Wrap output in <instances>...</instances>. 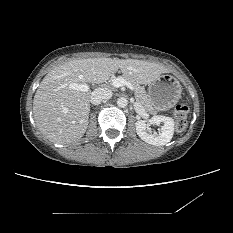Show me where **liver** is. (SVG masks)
<instances>
[{
  "mask_svg": "<svg viewBox=\"0 0 233 233\" xmlns=\"http://www.w3.org/2000/svg\"><path fill=\"white\" fill-rule=\"evenodd\" d=\"M121 70L134 83L149 84L168 70L137 59L87 58L52 69L41 81L33 100L39 131L50 141L65 144L80 139L88 127L91 92L70 89L71 83H102Z\"/></svg>",
  "mask_w": 233,
  "mask_h": 233,
  "instance_id": "1",
  "label": "liver"
}]
</instances>
